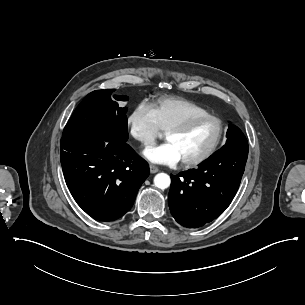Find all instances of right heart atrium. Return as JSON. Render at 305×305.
<instances>
[{
    "mask_svg": "<svg viewBox=\"0 0 305 305\" xmlns=\"http://www.w3.org/2000/svg\"><path fill=\"white\" fill-rule=\"evenodd\" d=\"M129 136L144 146H150L161 128L150 105L141 102L126 116Z\"/></svg>",
    "mask_w": 305,
    "mask_h": 305,
    "instance_id": "1",
    "label": "right heart atrium"
}]
</instances>
